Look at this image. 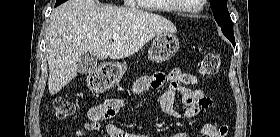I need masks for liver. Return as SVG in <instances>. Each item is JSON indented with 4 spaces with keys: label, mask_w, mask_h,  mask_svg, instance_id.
<instances>
[{
    "label": "liver",
    "mask_w": 280,
    "mask_h": 137,
    "mask_svg": "<svg viewBox=\"0 0 280 137\" xmlns=\"http://www.w3.org/2000/svg\"><path fill=\"white\" fill-rule=\"evenodd\" d=\"M168 19L134 8L102 6L95 0H68L54 9L47 30L48 89L57 94L77 76L76 61L86 53L123 59L163 33H175ZM119 35L112 42V36Z\"/></svg>",
    "instance_id": "6515ba94"
}]
</instances>
